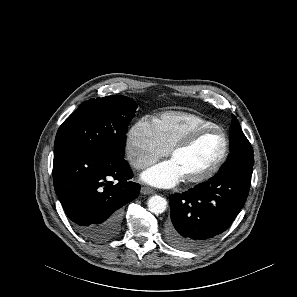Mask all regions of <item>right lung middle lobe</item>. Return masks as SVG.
I'll return each instance as SVG.
<instances>
[{"label":"right lung middle lobe","mask_w":297,"mask_h":297,"mask_svg":"<svg viewBox=\"0 0 297 297\" xmlns=\"http://www.w3.org/2000/svg\"><path fill=\"white\" fill-rule=\"evenodd\" d=\"M136 108L132 99L119 95L83 102L60 126L54 151L86 148L123 158L125 134Z\"/></svg>","instance_id":"obj_1"}]
</instances>
